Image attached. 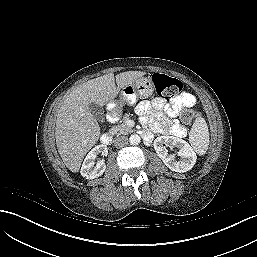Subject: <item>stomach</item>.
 I'll return each mask as SVG.
<instances>
[{
  "instance_id": "stomach-1",
  "label": "stomach",
  "mask_w": 257,
  "mask_h": 257,
  "mask_svg": "<svg viewBox=\"0 0 257 257\" xmlns=\"http://www.w3.org/2000/svg\"><path fill=\"white\" fill-rule=\"evenodd\" d=\"M154 92V85L150 77H141L134 83L124 87L121 90V99L123 102L133 104L137 97H150Z\"/></svg>"
}]
</instances>
